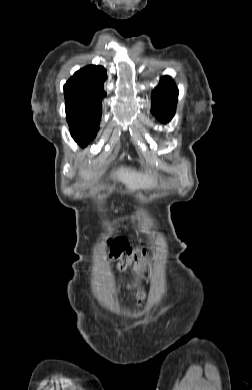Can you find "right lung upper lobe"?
<instances>
[{"mask_svg":"<svg viewBox=\"0 0 252 390\" xmlns=\"http://www.w3.org/2000/svg\"><path fill=\"white\" fill-rule=\"evenodd\" d=\"M106 78L102 66L91 65L77 71L64 85L66 110L101 109Z\"/></svg>","mask_w":252,"mask_h":390,"instance_id":"obj_1","label":"right lung upper lobe"}]
</instances>
